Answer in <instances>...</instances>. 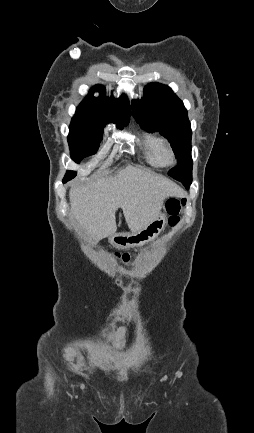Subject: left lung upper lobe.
<instances>
[{
    "label": "left lung upper lobe",
    "mask_w": 254,
    "mask_h": 433,
    "mask_svg": "<svg viewBox=\"0 0 254 433\" xmlns=\"http://www.w3.org/2000/svg\"><path fill=\"white\" fill-rule=\"evenodd\" d=\"M135 119L150 132L159 131L176 154L178 164L168 175L185 187L192 183L191 125L183 102L166 85L150 83L141 100L132 101Z\"/></svg>",
    "instance_id": "obj_1"
}]
</instances>
